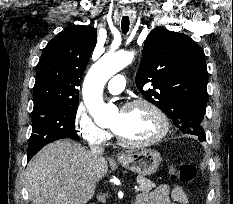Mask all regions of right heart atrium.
Instances as JSON below:
<instances>
[{
	"mask_svg": "<svg viewBox=\"0 0 233 204\" xmlns=\"http://www.w3.org/2000/svg\"><path fill=\"white\" fill-rule=\"evenodd\" d=\"M74 129L77 135L89 144H101L110 139V133L98 126L82 105H79L75 111Z\"/></svg>",
	"mask_w": 233,
	"mask_h": 204,
	"instance_id": "1",
	"label": "right heart atrium"
}]
</instances>
